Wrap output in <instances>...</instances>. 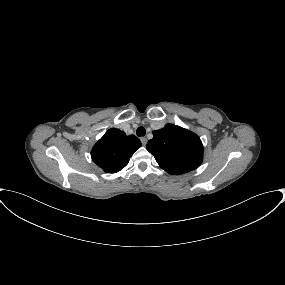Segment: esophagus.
I'll return each mask as SVG.
<instances>
[{
	"label": "esophagus",
	"mask_w": 285,
	"mask_h": 285,
	"mask_svg": "<svg viewBox=\"0 0 285 285\" xmlns=\"http://www.w3.org/2000/svg\"><path fill=\"white\" fill-rule=\"evenodd\" d=\"M140 140L143 146L147 144V139L145 137H142Z\"/></svg>",
	"instance_id": "esophagus-1"
}]
</instances>
